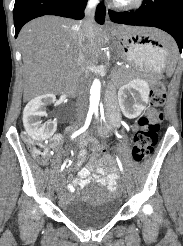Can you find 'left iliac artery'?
Listing matches in <instances>:
<instances>
[{
  "label": "left iliac artery",
  "instance_id": "obj_1",
  "mask_svg": "<svg viewBox=\"0 0 183 246\" xmlns=\"http://www.w3.org/2000/svg\"><path fill=\"white\" fill-rule=\"evenodd\" d=\"M95 115H96V118H97L98 117V111L97 110L95 111ZM116 160H117L118 166L120 168V171L122 173H124L122 163H121L120 159L118 158V156H116Z\"/></svg>",
  "mask_w": 183,
  "mask_h": 246
}]
</instances>
